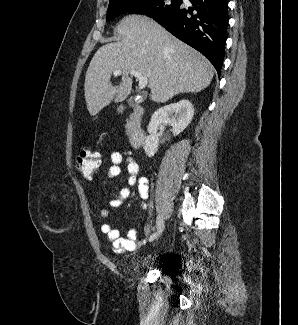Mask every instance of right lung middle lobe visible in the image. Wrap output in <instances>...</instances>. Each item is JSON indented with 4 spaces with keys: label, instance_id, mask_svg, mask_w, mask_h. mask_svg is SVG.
Segmentation results:
<instances>
[{
    "label": "right lung middle lobe",
    "instance_id": "right-lung-middle-lobe-1",
    "mask_svg": "<svg viewBox=\"0 0 298 325\" xmlns=\"http://www.w3.org/2000/svg\"><path fill=\"white\" fill-rule=\"evenodd\" d=\"M182 0H114L109 2L106 21L123 13L144 14L154 17L167 10L179 8Z\"/></svg>",
    "mask_w": 298,
    "mask_h": 325
}]
</instances>
